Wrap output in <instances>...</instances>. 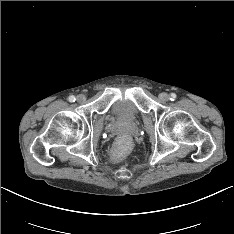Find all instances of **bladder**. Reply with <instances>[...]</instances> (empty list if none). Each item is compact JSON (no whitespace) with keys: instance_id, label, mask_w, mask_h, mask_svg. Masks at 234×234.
Here are the masks:
<instances>
[{"instance_id":"obj_1","label":"bladder","mask_w":234,"mask_h":234,"mask_svg":"<svg viewBox=\"0 0 234 234\" xmlns=\"http://www.w3.org/2000/svg\"><path fill=\"white\" fill-rule=\"evenodd\" d=\"M111 117L123 121H132L137 117V110L134 105L126 99H118L114 101L108 111Z\"/></svg>"}]
</instances>
